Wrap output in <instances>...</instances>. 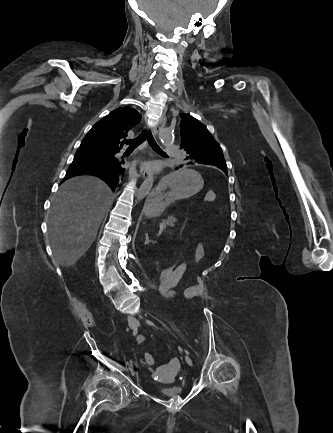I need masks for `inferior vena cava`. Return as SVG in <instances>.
I'll return each instance as SVG.
<instances>
[{
    "instance_id": "602c4592",
    "label": "inferior vena cava",
    "mask_w": 333,
    "mask_h": 433,
    "mask_svg": "<svg viewBox=\"0 0 333 433\" xmlns=\"http://www.w3.org/2000/svg\"><path fill=\"white\" fill-rule=\"evenodd\" d=\"M133 318L131 316L128 317V321L131 322Z\"/></svg>"
}]
</instances>
